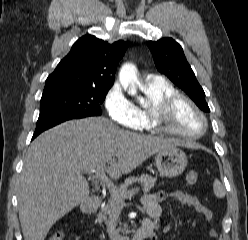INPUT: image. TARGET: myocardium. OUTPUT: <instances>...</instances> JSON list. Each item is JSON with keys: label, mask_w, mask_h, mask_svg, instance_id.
I'll return each instance as SVG.
<instances>
[{"label": "myocardium", "mask_w": 248, "mask_h": 240, "mask_svg": "<svg viewBox=\"0 0 248 240\" xmlns=\"http://www.w3.org/2000/svg\"><path fill=\"white\" fill-rule=\"evenodd\" d=\"M180 101L187 102L203 120L204 127L199 133H184L172 128L169 125L173 109ZM151 123L156 131L186 139H197L199 137H202L208 129V120L201 108L193 99L180 92H174L170 95H167L154 106L151 112Z\"/></svg>", "instance_id": "obj_1"}]
</instances>
